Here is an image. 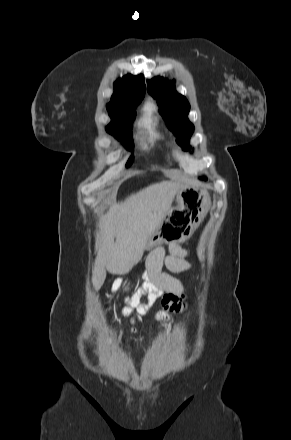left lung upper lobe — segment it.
<instances>
[{
	"label": "left lung upper lobe",
	"mask_w": 291,
	"mask_h": 440,
	"mask_svg": "<svg viewBox=\"0 0 291 440\" xmlns=\"http://www.w3.org/2000/svg\"><path fill=\"white\" fill-rule=\"evenodd\" d=\"M174 84V81L169 82L163 77H154L148 80L147 90L156 99L168 128L178 137V144L184 150H190L189 139L194 131L193 124L187 118L190 105L184 96L175 91Z\"/></svg>",
	"instance_id": "left-lung-upper-lobe-1"
}]
</instances>
